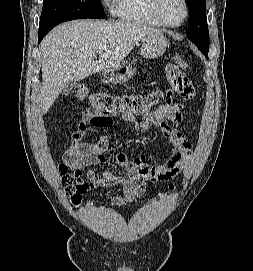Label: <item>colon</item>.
Returning a JSON list of instances; mask_svg holds the SVG:
<instances>
[{
    "label": "colon",
    "mask_w": 253,
    "mask_h": 271,
    "mask_svg": "<svg viewBox=\"0 0 253 271\" xmlns=\"http://www.w3.org/2000/svg\"><path fill=\"white\" fill-rule=\"evenodd\" d=\"M173 63L176 70H184L188 67L186 60L179 54L173 56ZM175 86L178 92L193 97L194 87L182 72L175 76ZM161 96L159 91H151L145 94L91 93L90 88L83 84L77 86L75 93V98L78 101L89 100L93 108L92 111L101 115H108L114 112L125 114L144 113L157 105ZM59 172L65 194L70 196L74 203H77L81 194L86 192L88 186V183L82 178V171L73 169L66 164H61ZM173 189L174 185H171L169 191Z\"/></svg>",
    "instance_id": "obj_1"
}]
</instances>
